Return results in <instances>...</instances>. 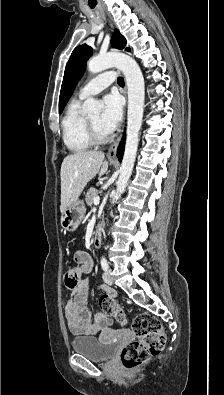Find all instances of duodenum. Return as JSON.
<instances>
[{
  "mask_svg": "<svg viewBox=\"0 0 224 395\" xmlns=\"http://www.w3.org/2000/svg\"><path fill=\"white\" fill-rule=\"evenodd\" d=\"M101 227H96V230L93 233L92 236V246L93 247H99L101 245Z\"/></svg>",
  "mask_w": 224,
  "mask_h": 395,
  "instance_id": "410a0bca",
  "label": "duodenum"
}]
</instances>
